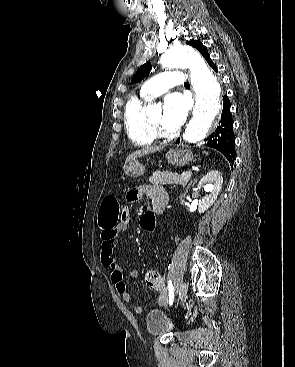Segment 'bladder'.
<instances>
[{
  "mask_svg": "<svg viewBox=\"0 0 295 367\" xmlns=\"http://www.w3.org/2000/svg\"><path fill=\"white\" fill-rule=\"evenodd\" d=\"M146 328L151 335H161L169 332L172 325L163 311L153 309L146 315Z\"/></svg>",
  "mask_w": 295,
  "mask_h": 367,
  "instance_id": "1",
  "label": "bladder"
}]
</instances>
